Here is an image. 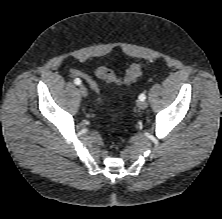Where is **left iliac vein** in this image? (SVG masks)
Returning a JSON list of instances; mask_svg holds the SVG:
<instances>
[{"instance_id":"1","label":"left iliac vein","mask_w":222,"mask_h":219,"mask_svg":"<svg viewBox=\"0 0 222 219\" xmlns=\"http://www.w3.org/2000/svg\"><path fill=\"white\" fill-rule=\"evenodd\" d=\"M147 106H148V104H147V102H146L145 100H139V101L137 102V107H138L139 109H141V110L146 109Z\"/></svg>"}]
</instances>
